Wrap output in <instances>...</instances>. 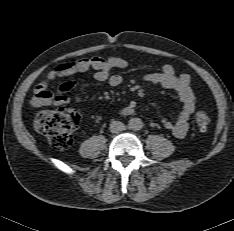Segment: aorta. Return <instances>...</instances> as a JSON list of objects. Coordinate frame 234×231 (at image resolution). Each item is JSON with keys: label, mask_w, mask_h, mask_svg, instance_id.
I'll return each instance as SVG.
<instances>
[{"label": "aorta", "mask_w": 234, "mask_h": 231, "mask_svg": "<svg viewBox=\"0 0 234 231\" xmlns=\"http://www.w3.org/2000/svg\"><path fill=\"white\" fill-rule=\"evenodd\" d=\"M128 126L132 130H140L143 126V122L140 118L137 117L131 118L129 120Z\"/></svg>", "instance_id": "obj_1"}]
</instances>
